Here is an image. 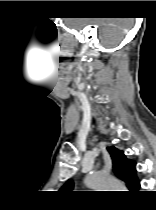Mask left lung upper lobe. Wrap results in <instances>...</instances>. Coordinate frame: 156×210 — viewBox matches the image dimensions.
Masks as SVG:
<instances>
[{"instance_id": "1", "label": "left lung upper lobe", "mask_w": 156, "mask_h": 210, "mask_svg": "<svg viewBox=\"0 0 156 210\" xmlns=\"http://www.w3.org/2000/svg\"><path fill=\"white\" fill-rule=\"evenodd\" d=\"M113 163V171L115 175L123 180L127 187L132 191H137L140 188V181L136 176V163L128 160L124 152L115 148L114 146L107 148ZM73 188V182L68 180L63 186V191H68Z\"/></svg>"}]
</instances>
